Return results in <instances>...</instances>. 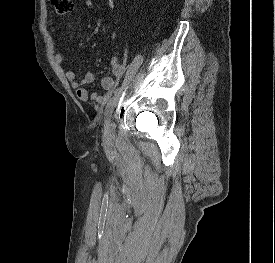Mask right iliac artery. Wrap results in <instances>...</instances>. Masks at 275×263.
Segmentation results:
<instances>
[{
    "mask_svg": "<svg viewBox=\"0 0 275 263\" xmlns=\"http://www.w3.org/2000/svg\"><path fill=\"white\" fill-rule=\"evenodd\" d=\"M143 62V57L138 55L134 58L133 62L131 63L130 67L128 68L122 86L116 91L115 95L108 101L106 108H105V115L106 118L112 113L114 107L116 106L120 94L123 88L132 80L135 73L137 72L138 68Z\"/></svg>",
    "mask_w": 275,
    "mask_h": 263,
    "instance_id": "1",
    "label": "right iliac artery"
}]
</instances>
